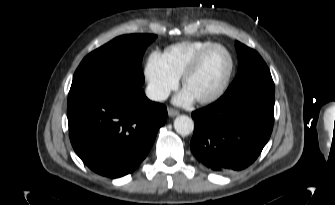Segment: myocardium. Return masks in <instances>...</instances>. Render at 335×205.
Listing matches in <instances>:
<instances>
[{
    "instance_id": "f54148a6",
    "label": "myocardium",
    "mask_w": 335,
    "mask_h": 205,
    "mask_svg": "<svg viewBox=\"0 0 335 205\" xmlns=\"http://www.w3.org/2000/svg\"><path fill=\"white\" fill-rule=\"evenodd\" d=\"M216 48H221L227 53V55L229 57V60H230L229 70L227 72L226 77L224 78V80L220 84V86L214 92H212L208 96L195 99L200 104H209V103H212V102L218 100L227 90V88H228V86H229V84L232 80V77L234 75V72H235V58H234L233 53L231 52V50L227 46H225L221 43H213V44L205 47L204 49H202L194 57V59L190 62V64L186 67V69L184 70V72L181 75V83H182V86L185 88L186 82L200 68L204 58L206 57V55L210 51H212Z\"/></svg>"
}]
</instances>
